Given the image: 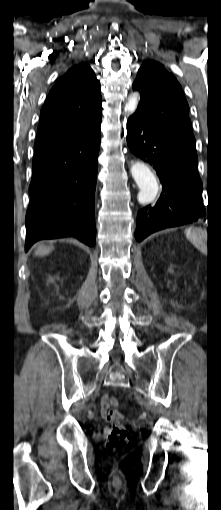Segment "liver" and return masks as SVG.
Returning <instances> with one entry per match:
<instances>
[{"instance_id":"6515ba94","label":"liver","mask_w":221,"mask_h":510,"mask_svg":"<svg viewBox=\"0 0 221 510\" xmlns=\"http://www.w3.org/2000/svg\"><path fill=\"white\" fill-rule=\"evenodd\" d=\"M53 250V247H46L45 245H38L35 251L36 256L48 255Z\"/></svg>"}]
</instances>
